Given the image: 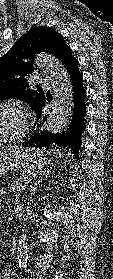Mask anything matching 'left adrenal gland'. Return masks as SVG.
Returning a JSON list of instances; mask_svg holds the SVG:
<instances>
[{
  "label": "left adrenal gland",
  "mask_w": 113,
  "mask_h": 279,
  "mask_svg": "<svg viewBox=\"0 0 113 279\" xmlns=\"http://www.w3.org/2000/svg\"><path fill=\"white\" fill-rule=\"evenodd\" d=\"M49 174L50 171H47V172H43L41 176H39L38 180L31 186L30 192L32 195L35 194L37 187L42 184V181L45 180V178H47Z\"/></svg>",
  "instance_id": "a2214340"
}]
</instances>
